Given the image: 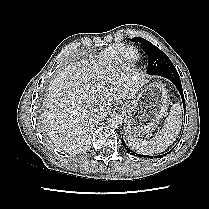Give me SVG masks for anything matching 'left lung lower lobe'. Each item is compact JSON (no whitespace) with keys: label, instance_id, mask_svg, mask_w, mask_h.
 <instances>
[{"label":"left lung lower lobe","instance_id":"left-lung-lower-lobe-1","mask_svg":"<svg viewBox=\"0 0 209 209\" xmlns=\"http://www.w3.org/2000/svg\"><path fill=\"white\" fill-rule=\"evenodd\" d=\"M156 75L165 77V78H167V79H169L170 81L173 82V84L177 87L179 93L181 94V98H182V101H183L184 110L186 111V108H185V99H184V95H183L182 85H181L180 77H179V74H178L176 68L175 69H170V70L162 71V72H160V73H158ZM122 144L125 147V149L127 150V152H129L132 155L135 154L132 150H130L128 148V146L125 144L123 138H122ZM164 155H166V154H164ZM164 155L155 156L154 158L163 157ZM136 156H138V157H148V158H151V159L153 158L152 156L139 155V154H136Z\"/></svg>","mask_w":209,"mask_h":209}]
</instances>
